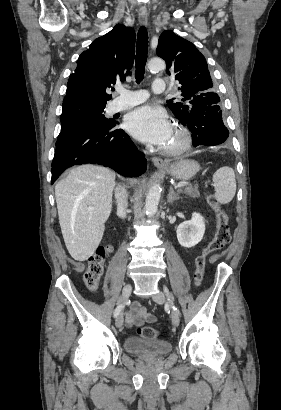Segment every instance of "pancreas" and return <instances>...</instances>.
<instances>
[{
	"label": "pancreas",
	"mask_w": 281,
	"mask_h": 410,
	"mask_svg": "<svg viewBox=\"0 0 281 410\" xmlns=\"http://www.w3.org/2000/svg\"><path fill=\"white\" fill-rule=\"evenodd\" d=\"M178 192L184 193L193 198H198L200 196L197 186H192V185H189L185 187L184 189H179Z\"/></svg>",
	"instance_id": "1"
}]
</instances>
